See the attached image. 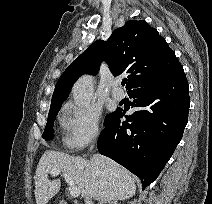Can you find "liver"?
Masks as SVG:
<instances>
[{"instance_id": "1", "label": "liver", "mask_w": 212, "mask_h": 204, "mask_svg": "<svg viewBox=\"0 0 212 204\" xmlns=\"http://www.w3.org/2000/svg\"><path fill=\"white\" fill-rule=\"evenodd\" d=\"M52 169L69 175L83 198L112 202L126 200L136 192L135 182L125 168L100 154L90 160L48 150L42 155L34 176L36 204H47L60 190V179L49 180Z\"/></svg>"}]
</instances>
